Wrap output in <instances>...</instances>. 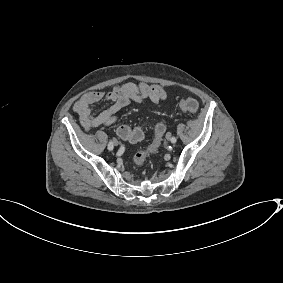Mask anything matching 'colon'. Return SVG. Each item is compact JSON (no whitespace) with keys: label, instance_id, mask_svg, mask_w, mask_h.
<instances>
[{"label":"colon","instance_id":"1","mask_svg":"<svg viewBox=\"0 0 283 283\" xmlns=\"http://www.w3.org/2000/svg\"><path fill=\"white\" fill-rule=\"evenodd\" d=\"M198 107V101L194 98L189 97L180 101V108L185 112L194 113L198 110ZM164 131L165 129L163 124L157 123L155 125L154 141L145 150L137 152L134 156V164L137 167H142L147 156L155 154L158 151ZM117 133L120 137L130 142H138L143 138V130L141 127L131 129L126 125H120L117 127Z\"/></svg>","mask_w":283,"mask_h":283}]
</instances>
